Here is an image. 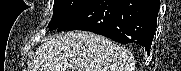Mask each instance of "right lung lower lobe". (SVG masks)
<instances>
[{
	"instance_id": "1",
	"label": "right lung lower lobe",
	"mask_w": 181,
	"mask_h": 71,
	"mask_svg": "<svg viewBox=\"0 0 181 71\" xmlns=\"http://www.w3.org/2000/svg\"><path fill=\"white\" fill-rule=\"evenodd\" d=\"M159 8L160 0H94L57 31L94 32L121 44H139L149 55Z\"/></svg>"
}]
</instances>
